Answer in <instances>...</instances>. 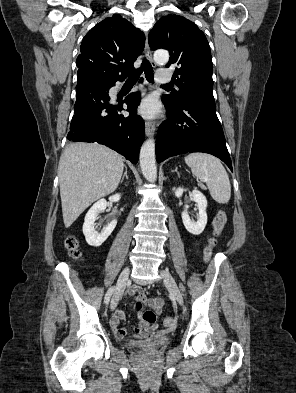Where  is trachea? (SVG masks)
Instances as JSON below:
<instances>
[{
	"label": "trachea",
	"instance_id": "3493384b",
	"mask_svg": "<svg viewBox=\"0 0 296 393\" xmlns=\"http://www.w3.org/2000/svg\"><path fill=\"white\" fill-rule=\"evenodd\" d=\"M145 72V77L148 82L153 83L154 81V73L153 68L150 62L147 59H143L141 67L137 69L135 72L128 75V79L126 81L127 84H135L141 75L142 72ZM165 87H170V85L166 84Z\"/></svg>",
	"mask_w": 296,
	"mask_h": 393
}]
</instances>
